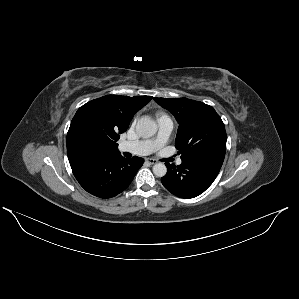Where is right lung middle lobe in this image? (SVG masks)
<instances>
[{
	"label": "right lung middle lobe",
	"mask_w": 299,
	"mask_h": 299,
	"mask_svg": "<svg viewBox=\"0 0 299 299\" xmlns=\"http://www.w3.org/2000/svg\"><path fill=\"white\" fill-rule=\"evenodd\" d=\"M92 140L102 146L107 145L111 151H117V137H109L100 130H94L91 134Z\"/></svg>",
	"instance_id": "obj_1"
}]
</instances>
